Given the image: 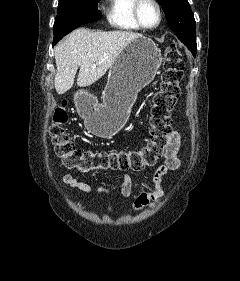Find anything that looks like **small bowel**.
<instances>
[{
    "label": "small bowel",
    "mask_w": 240,
    "mask_h": 281,
    "mask_svg": "<svg viewBox=\"0 0 240 281\" xmlns=\"http://www.w3.org/2000/svg\"><path fill=\"white\" fill-rule=\"evenodd\" d=\"M180 147V134L178 133V131L173 130L171 131L169 136V144L165 156V162L156 169L152 177L154 189L150 192H142L136 197L132 205V209L134 211H140L144 208L153 206L164 195V191L162 189L163 177L170 171L178 170L181 167V160L179 158ZM62 181L69 187L76 189L82 193L90 195L93 192L92 187L88 183L79 181L70 174L62 175ZM138 186L139 184L131 179L130 176L124 175L121 184V194L124 197L129 198L134 195V192L136 191ZM95 193L97 195H110V190L107 187L98 186L95 189ZM106 211L109 214L114 213V206L112 203H109L107 205Z\"/></svg>",
    "instance_id": "1"
}]
</instances>
